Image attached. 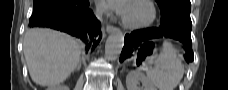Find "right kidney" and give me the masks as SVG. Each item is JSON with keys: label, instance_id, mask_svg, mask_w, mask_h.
Masks as SVG:
<instances>
[{"label": "right kidney", "instance_id": "obj_1", "mask_svg": "<svg viewBox=\"0 0 228 90\" xmlns=\"http://www.w3.org/2000/svg\"><path fill=\"white\" fill-rule=\"evenodd\" d=\"M48 90H69L68 86L64 85H56V86H51L48 88Z\"/></svg>", "mask_w": 228, "mask_h": 90}]
</instances>
